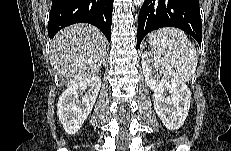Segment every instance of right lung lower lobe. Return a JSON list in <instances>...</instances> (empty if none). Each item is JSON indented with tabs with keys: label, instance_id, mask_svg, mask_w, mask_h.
<instances>
[{
	"label": "right lung lower lobe",
	"instance_id": "98d812e1",
	"mask_svg": "<svg viewBox=\"0 0 231 151\" xmlns=\"http://www.w3.org/2000/svg\"><path fill=\"white\" fill-rule=\"evenodd\" d=\"M113 0H52L48 36L74 23H90L111 38Z\"/></svg>",
	"mask_w": 231,
	"mask_h": 151
}]
</instances>
